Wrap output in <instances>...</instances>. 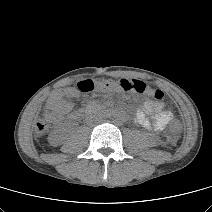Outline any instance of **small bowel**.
Segmentation results:
<instances>
[{"instance_id": "1", "label": "small bowel", "mask_w": 212, "mask_h": 212, "mask_svg": "<svg viewBox=\"0 0 212 212\" xmlns=\"http://www.w3.org/2000/svg\"><path fill=\"white\" fill-rule=\"evenodd\" d=\"M78 97V92L71 87L53 91L44 104V113L47 120L58 123L65 116L77 118V113H72L73 104L66 98ZM149 116L151 118H149ZM173 114L164 108L159 101L147 100L141 109L135 113V121L146 129L162 131L171 122Z\"/></svg>"}]
</instances>
